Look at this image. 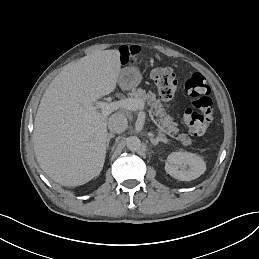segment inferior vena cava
I'll return each mask as SVG.
<instances>
[{"label":"inferior vena cava","instance_id":"obj_1","mask_svg":"<svg viewBox=\"0 0 259 259\" xmlns=\"http://www.w3.org/2000/svg\"><path fill=\"white\" fill-rule=\"evenodd\" d=\"M127 127H128V122H127V118L124 115L120 113H116L109 118L108 128L110 132L114 134H120L124 132L127 129Z\"/></svg>","mask_w":259,"mask_h":259}]
</instances>
